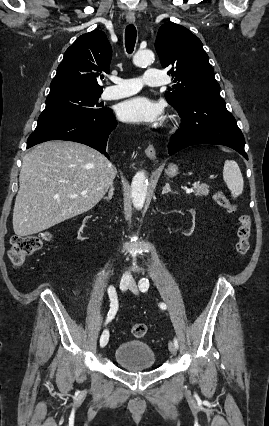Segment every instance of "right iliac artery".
Here are the masks:
<instances>
[{
  "mask_svg": "<svg viewBox=\"0 0 269 426\" xmlns=\"http://www.w3.org/2000/svg\"><path fill=\"white\" fill-rule=\"evenodd\" d=\"M108 295L110 298V310L108 312V318L105 322V324H107L109 321H111L114 316L116 315V312L118 310V298H117V293L116 290L113 286H110L108 288Z\"/></svg>",
  "mask_w": 269,
  "mask_h": 426,
  "instance_id": "82829eb1",
  "label": "right iliac artery"
}]
</instances>
